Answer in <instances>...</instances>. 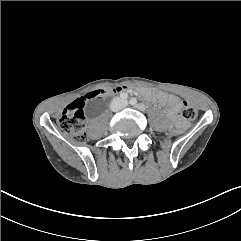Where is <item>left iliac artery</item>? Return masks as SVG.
Returning <instances> with one entry per match:
<instances>
[{
    "instance_id": "left-iliac-artery-1",
    "label": "left iliac artery",
    "mask_w": 241,
    "mask_h": 241,
    "mask_svg": "<svg viewBox=\"0 0 241 241\" xmlns=\"http://www.w3.org/2000/svg\"><path fill=\"white\" fill-rule=\"evenodd\" d=\"M130 104L131 105H136L137 104V99L136 98H131Z\"/></svg>"
}]
</instances>
